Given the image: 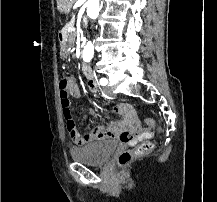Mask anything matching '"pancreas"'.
Segmentation results:
<instances>
[{
    "label": "pancreas",
    "instance_id": "1",
    "mask_svg": "<svg viewBox=\"0 0 217 202\" xmlns=\"http://www.w3.org/2000/svg\"><path fill=\"white\" fill-rule=\"evenodd\" d=\"M67 25H71V22H67V24L64 25L62 32H63L64 34H65V33L68 34V36H69L68 42H69L70 46H74L76 34H75V32H67V27H68Z\"/></svg>",
    "mask_w": 217,
    "mask_h": 202
}]
</instances>
